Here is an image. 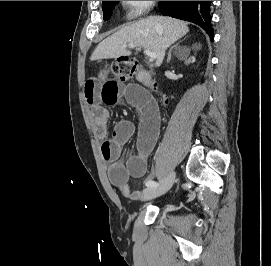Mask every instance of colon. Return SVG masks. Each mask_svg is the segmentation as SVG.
<instances>
[{
  "mask_svg": "<svg viewBox=\"0 0 271 266\" xmlns=\"http://www.w3.org/2000/svg\"><path fill=\"white\" fill-rule=\"evenodd\" d=\"M109 68L113 76L120 80H127L136 74L140 65L132 59L118 58L110 64Z\"/></svg>",
  "mask_w": 271,
  "mask_h": 266,
  "instance_id": "1",
  "label": "colon"
}]
</instances>
